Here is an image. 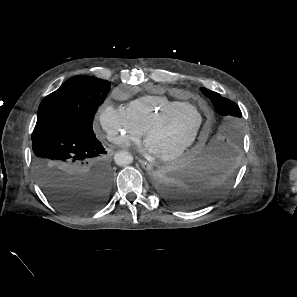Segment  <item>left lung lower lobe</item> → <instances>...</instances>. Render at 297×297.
Returning a JSON list of instances; mask_svg holds the SVG:
<instances>
[{"label": "left lung lower lobe", "instance_id": "left-lung-lower-lobe-1", "mask_svg": "<svg viewBox=\"0 0 297 297\" xmlns=\"http://www.w3.org/2000/svg\"><path fill=\"white\" fill-rule=\"evenodd\" d=\"M237 151L208 141L154 175L157 191L169 204L195 209L218 199L231 185Z\"/></svg>", "mask_w": 297, "mask_h": 297}]
</instances>
